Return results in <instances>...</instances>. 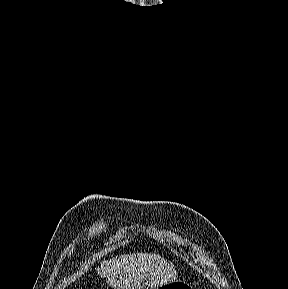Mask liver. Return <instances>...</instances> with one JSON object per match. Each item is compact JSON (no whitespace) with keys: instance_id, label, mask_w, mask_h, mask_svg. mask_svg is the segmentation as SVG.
<instances>
[{"instance_id":"liver-1","label":"liver","mask_w":288,"mask_h":289,"mask_svg":"<svg viewBox=\"0 0 288 289\" xmlns=\"http://www.w3.org/2000/svg\"><path fill=\"white\" fill-rule=\"evenodd\" d=\"M97 274L115 289H153L177 280L174 265L156 254L121 255L104 261Z\"/></svg>"}]
</instances>
